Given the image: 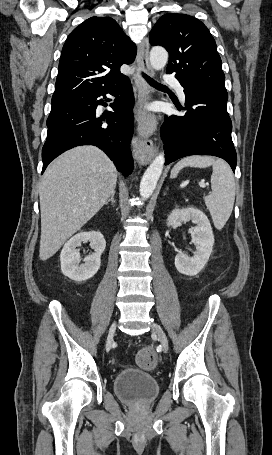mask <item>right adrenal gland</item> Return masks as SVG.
Here are the masks:
<instances>
[{
	"mask_svg": "<svg viewBox=\"0 0 272 455\" xmlns=\"http://www.w3.org/2000/svg\"><path fill=\"white\" fill-rule=\"evenodd\" d=\"M114 196H115V192H113V194L111 195V197L107 200V202L105 204L107 205L109 202L114 204L115 203Z\"/></svg>",
	"mask_w": 272,
	"mask_h": 455,
	"instance_id": "2a0ac1e0",
	"label": "right adrenal gland"
}]
</instances>
